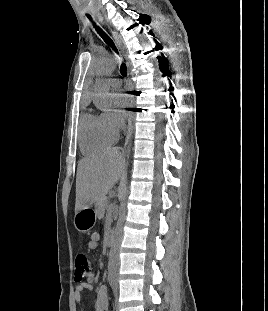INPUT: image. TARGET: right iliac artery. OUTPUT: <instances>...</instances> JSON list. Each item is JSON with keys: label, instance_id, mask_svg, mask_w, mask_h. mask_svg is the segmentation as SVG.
<instances>
[{"label": "right iliac artery", "instance_id": "1", "mask_svg": "<svg viewBox=\"0 0 268 311\" xmlns=\"http://www.w3.org/2000/svg\"><path fill=\"white\" fill-rule=\"evenodd\" d=\"M110 285H111V286L113 285V282H112V281L110 282Z\"/></svg>", "mask_w": 268, "mask_h": 311}]
</instances>
